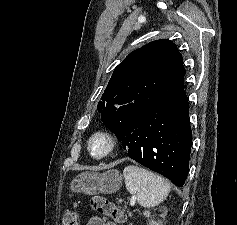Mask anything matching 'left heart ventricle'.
I'll return each mask as SVG.
<instances>
[{
    "label": "left heart ventricle",
    "instance_id": "b2bd125f",
    "mask_svg": "<svg viewBox=\"0 0 237 225\" xmlns=\"http://www.w3.org/2000/svg\"><path fill=\"white\" fill-rule=\"evenodd\" d=\"M101 149H102V145H101V144H97V145L95 146V151H96V152L101 151Z\"/></svg>",
    "mask_w": 237,
    "mask_h": 225
}]
</instances>
